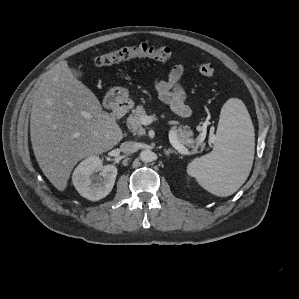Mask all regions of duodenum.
<instances>
[{
	"instance_id": "1",
	"label": "duodenum",
	"mask_w": 299,
	"mask_h": 299,
	"mask_svg": "<svg viewBox=\"0 0 299 299\" xmlns=\"http://www.w3.org/2000/svg\"><path fill=\"white\" fill-rule=\"evenodd\" d=\"M130 108V102L126 100L116 101L111 105V116L118 120L122 118Z\"/></svg>"
}]
</instances>
